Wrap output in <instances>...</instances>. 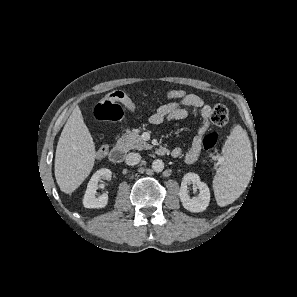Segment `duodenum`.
Masks as SVG:
<instances>
[{
	"mask_svg": "<svg viewBox=\"0 0 297 297\" xmlns=\"http://www.w3.org/2000/svg\"><path fill=\"white\" fill-rule=\"evenodd\" d=\"M156 153L160 156H164L170 153V150L164 146H160L156 149ZM126 156V148L123 145H116L110 151L109 158L114 163H120Z\"/></svg>",
	"mask_w": 297,
	"mask_h": 297,
	"instance_id": "obj_1",
	"label": "duodenum"
}]
</instances>
